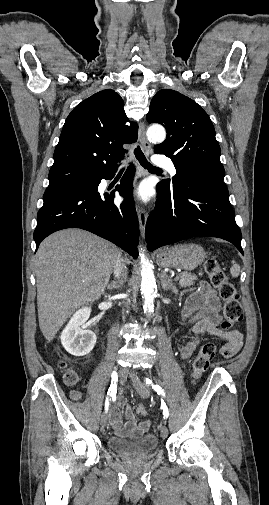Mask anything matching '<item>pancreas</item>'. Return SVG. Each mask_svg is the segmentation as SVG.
<instances>
[{"mask_svg": "<svg viewBox=\"0 0 269 505\" xmlns=\"http://www.w3.org/2000/svg\"><path fill=\"white\" fill-rule=\"evenodd\" d=\"M179 285L180 287H188L194 284V281L197 279V276L191 273H181L178 275Z\"/></svg>", "mask_w": 269, "mask_h": 505, "instance_id": "1", "label": "pancreas"}]
</instances>
